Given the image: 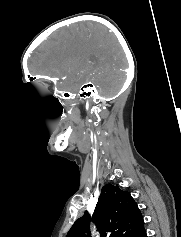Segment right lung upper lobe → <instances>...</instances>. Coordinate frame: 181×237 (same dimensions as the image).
I'll return each instance as SVG.
<instances>
[{"label": "right lung upper lobe", "instance_id": "cb5924a9", "mask_svg": "<svg viewBox=\"0 0 181 237\" xmlns=\"http://www.w3.org/2000/svg\"><path fill=\"white\" fill-rule=\"evenodd\" d=\"M90 220L95 223L100 237H141L145 232L136 202L118 185L103 186L92 219L86 211L75 221L66 237H91Z\"/></svg>", "mask_w": 181, "mask_h": 237}]
</instances>
